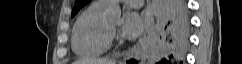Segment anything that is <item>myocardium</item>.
Segmentation results:
<instances>
[{
  "instance_id": "obj_1",
  "label": "myocardium",
  "mask_w": 242,
  "mask_h": 64,
  "mask_svg": "<svg viewBox=\"0 0 242 64\" xmlns=\"http://www.w3.org/2000/svg\"><path fill=\"white\" fill-rule=\"evenodd\" d=\"M109 30L111 31V27L109 26Z\"/></svg>"
}]
</instances>
